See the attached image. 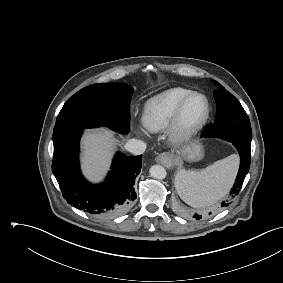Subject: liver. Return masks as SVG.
<instances>
[{
	"label": "liver",
	"mask_w": 283,
	"mask_h": 283,
	"mask_svg": "<svg viewBox=\"0 0 283 283\" xmlns=\"http://www.w3.org/2000/svg\"><path fill=\"white\" fill-rule=\"evenodd\" d=\"M108 128L88 130L82 138V169L84 175L96 182L103 178L109 168L117 140Z\"/></svg>",
	"instance_id": "obj_1"
}]
</instances>
